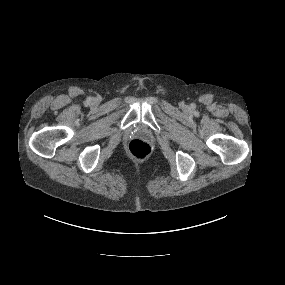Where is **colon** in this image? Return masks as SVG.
Masks as SVG:
<instances>
[{
    "label": "colon",
    "instance_id": "5ec220e1",
    "mask_svg": "<svg viewBox=\"0 0 285 285\" xmlns=\"http://www.w3.org/2000/svg\"><path fill=\"white\" fill-rule=\"evenodd\" d=\"M128 150L136 159H145L151 152L150 145L141 139H134L129 143Z\"/></svg>",
    "mask_w": 285,
    "mask_h": 285
}]
</instances>
